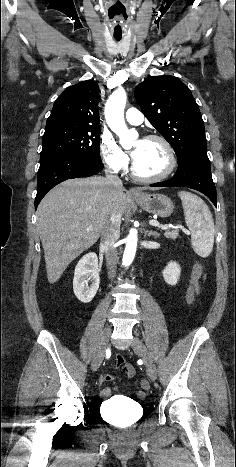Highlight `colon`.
Segmentation results:
<instances>
[{
	"label": "colon",
	"instance_id": "5ec220e1",
	"mask_svg": "<svg viewBox=\"0 0 236 467\" xmlns=\"http://www.w3.org/2000/svg\"><path fill=\"white\" fill-rule=\"evenodd\" d=\"M203 274V266L200 262H196L193 266V270H192V277H191V282H190V289L187 293V302L188 304H191L194 300V293H193V289L195 288V286L198 284V282L200 281L201 279V276ZM143 386L144 387H147L148 384L146 381H143ZM137 397L142 399L144 398V393L142 391H139L137 392Z\"/></svg>",
	"mask_w": 236,
	"mask_h": 467
}]
</instances>
